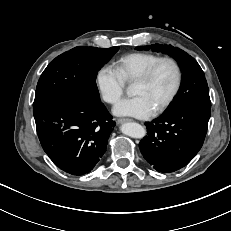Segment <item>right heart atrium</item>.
Instances as JSON below:
<instances>
[{
  "label": "right heart atrium",
  "instance_id": "obj_1",
  "mask_svg": "<svg viewBox=\"0 0 231 231\" xmlns=\"http://www.w3.org/2000/svg\"><path fill=\"white\" fill-rule=\"evenodd\" d=\"M96 85L102 99L109 104L117 103L125 89V81L117 70L109 65H104L97 71Z\"/></svg>",
  "mask_w": 231,
  "mask_h": 231
}]
</instances>
